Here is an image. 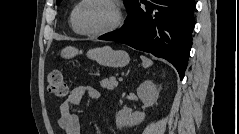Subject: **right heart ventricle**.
Segmentation results:
<instances>
[{"label":"right heart ventricle","mask_w":239,"mask_h":134,"mask_svg":"<svg viewBox=\"0 0 239 134\" xmlns=\"http://www.w3.org/2000/svg\"><path fill=\"white\" fill-rule=\"evenodd\" d=\"M77 5L74 6V8L72 9L71 11V14H70V24H71V27H72V30L75 32V33H78L73 25V22H72V19H73V13H74V10L76 8Z\"/></svg>","instance_id":"1"}]
</instances>
